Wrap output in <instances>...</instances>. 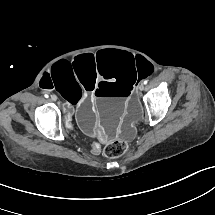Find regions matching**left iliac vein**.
Wrapping results in <instances>:
<instances>
[{"mask_svg":"<svg viewBox=\"0 0 215 215\" xmlns=\"http://www.w3.org/2000/svg\"><path fill=\"white\" fill-rule=\"evenodd\" d=\"M138 89L140 91H143L144 90V84L143 83H140L139 86H138Z\"/></svg>","mask_w":215,"mask_h":215,"instance_id":"4c4485c4","label":"left iliac vein"}]
</instances>
